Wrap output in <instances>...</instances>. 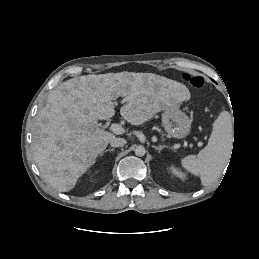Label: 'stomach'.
Masks as SVG:
<instances>
[{"instance_id": "obj_1", "label": "stomach", "mask_w": 259, "mask_h": 259, "mask_svg": "<svg viewBox=\"0 0 259 259\" xmlns=\"http://www.w3.org/2000/svg\"><path fill=\"white\" fill-rule=\"evenodd\" d=\"M183 92L188 93L186 87L183 88ZM162 125L169 137L182 139L190 132L191 120L179 109V106L175 105L164 110Z\"/></svg>"}]
</instances>
